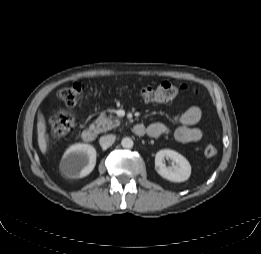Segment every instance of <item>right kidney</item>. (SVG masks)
Listing matches in <instances>:
<instances>
[{
	"mask_svg": "<svg viewBox=\"0 0 261 254\" xmlns=\"http://www.w3.org/2000/svg\"><path fill=\"white\" fill-rule=\"evenodd\" d=\"M96 164V150L89 144L78 143L67 149L60 168L64 176L71 179L89 175Z\"/></svg>",
	"mask_w": 261,
	"mask_h": 254,
	"instance_id": "1",
	"label": "right kidney"
}]
</instances>
